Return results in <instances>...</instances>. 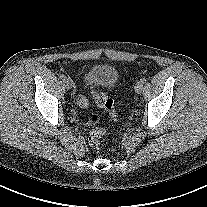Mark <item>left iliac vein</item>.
Segmentation results:
<instances>
[{"instance_id": "1", "label": "left iliac vein", "mask_w": 207, "mask_h": 207, "mask_svg": "<svg viewBox=\"0 0 207 207\" xmlns=\"http://www.w3.org/2000/svg\"><path fill=\"white\" fill-rule=\"evenodd\" d=\"M142 89H143V83L141 81L137 82L134 87L135 92L139 94L141 93Z\"/></svg>"}]
</instances>
